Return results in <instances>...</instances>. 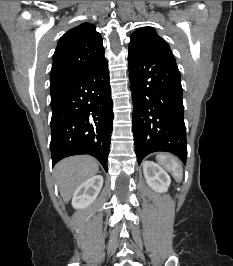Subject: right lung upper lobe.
Instances as JSON below:
<instances>
[{"mask_svg":"<svg viewBox=\"0 0 233 266\" xmlns=\"http://www.w3.org/2000/svg\"><path fill=\"white\" fill-rule=\"evenodd\" d=\"M95 28L93 24L83 23L60 38L53 55L50 91L71 82L105 59L102 37Z\"/></svg>","mask_w":233,"mask_h":266,"instance_id":"1","label":"right lung upper lobe"}]
</instances>
